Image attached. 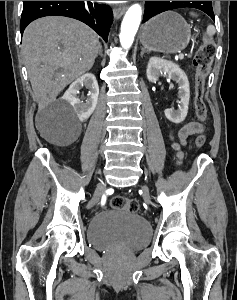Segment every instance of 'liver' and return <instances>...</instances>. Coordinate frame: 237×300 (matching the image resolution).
Segmentation results:
<instances>
[{
  "instance_id": "liver-1",
  "label": "liver",
  "mask_w": 237,
  "mask_h": 300,
  "mask_svg": "<svg viewBox=\"0 0 237 300\" xmlns=\"http://www.w3.org/2000/svg\"><path fill=\"white\" fill-rule=\"evenodd\" d=\"M98 35L68 17H43L23 35L22 55L39 103L55 99L69 83L90 71L99 53Z\"/></svg>"
}]
</instances>
